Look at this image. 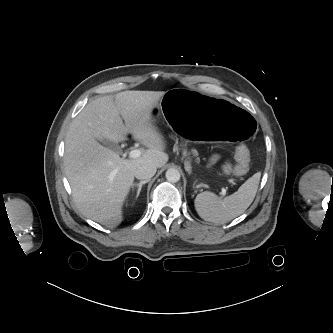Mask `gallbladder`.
Here are the masks:
<instances>
[{
  "instance_id": "obj_1",
  "label": "gallbladder",
  "mask_w": 333,
  "mask_h": 333,
  "mask_svg": "<svg viewBox=\"0 0 333 333\" xmlns=\"http://www.w3.org/2000/svg\"><path fill=\"white\" fill-rule=\"evenodd\" d=\"M101 144H103L105 147L111 149L114 152L121 153V148L117 143L108 140H103L101 141Z\"/></svg>"
}]
</instances>
